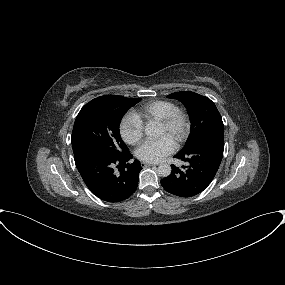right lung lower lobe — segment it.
<instances>
[{"label": "right lung lower lobe", "mask_w": 285, "mask_h": 285, "mask_svg": "<svg viewBox=\"0 0 285 285\" xmlns=\"http://www.w3.org/2000/svg\"><path fill=\"white\" fill-rule=\"evenodd\" d=\"M132 155H111L95 149L74 152L76 167L89 190L101 200L120 202L129 198L138 186L142 167ZM115 168H119L116 172Z\"/></svg>", "instance_id": "98d812e1"}]
</instances>
